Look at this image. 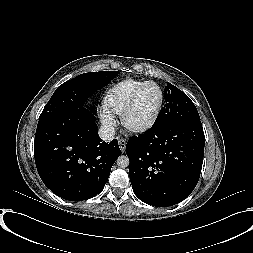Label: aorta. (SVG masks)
Segmentation results:
<instances>
[{"mask_svg": "<svg viewBox=\"0 0 253 253\" xmlns=\"http://www.w3.org/2000/svg\"><path fill=\"white\" fill-rule=\"evenodd\" d=\"M130 164L129 158L127 155H121L117 158V165L120 168H126Z\"/></svg>", "mask_w": 253, "mask_h": 253, "instance_id": "1", "label": "aorta"}]
</instances>
